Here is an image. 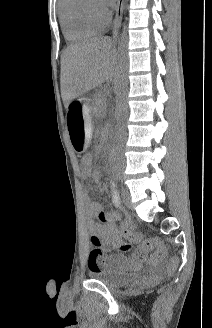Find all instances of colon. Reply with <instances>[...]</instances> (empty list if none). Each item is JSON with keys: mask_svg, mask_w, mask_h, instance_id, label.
Returning <instances> with one entry per match:
<instances>
[{"mask_svg": "<svg viewBox=\"0 0 212 328\" xmlns=\"http://www.w3.org/2000/svg\"><path fill=\"white\" fill-rule=\"evenodd\" d=\"M80 169L81 170H92L93 169V157L90 153H81L80 158ZM128 239L138 245L140 250H150L153 249V253L149 258L150 264H156L163 261L167 255V249L163 241L159 238L147 237L140 232H130ZM91 242L94 246L93 250L90 252L88 263L90 265L95 262L105 264V260L102 254L100 246V240L97 236L93 235ZM130 249L129 244H122L119 247L120 251L126 252ZM179 260L176 257L170 258L165 265L167 272L173 273L178 269Z\"/></svg>", "mask_w": 212, "mask_h": 328, "instance_id": "colon-1", "label": "colon"}]
</instances>
